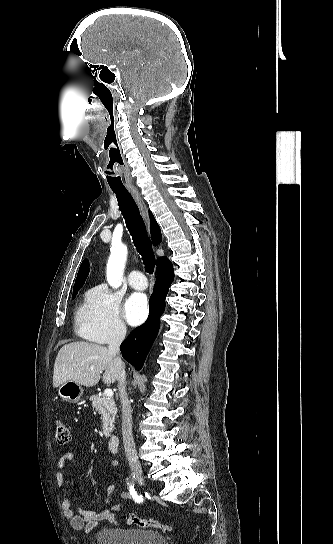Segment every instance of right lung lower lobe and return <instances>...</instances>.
<instances>
[{"instance_id": "right-lung-lower-lobe-1", "label": "right lung lower lobe", "mask_w": 333, "mask_h": 544, "mask_svg": "<svg viewBox=\"0 0 333 544\" xmlns=\"http://www.w3.org/2000/svg\"><path fill=\"white\" fill-rule=\"evenodd\" d=\"M173 278L171 263L158 269L154 291L149 300V317L120 346L123 358L137 370L143 367L145 358L158 334L160 317L165 310V298Z\"/></svg>"}]
</instances>
